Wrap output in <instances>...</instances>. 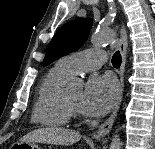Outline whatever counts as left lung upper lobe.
<instances>
[{"label":"left lung upper lobe","instance_id":"obj_1","mask_svg":"<svg viewBox=\"0 0 155 149\" xmlns=\"http://www.w3.org/2000/svg\"><path fill=\"white\" fill-rule=\"evenodd\" d=\"M91 28L90 19H77L64 24L52 38L43 66L79 49L87 40Z\"/></svg>","mask_w":155,"mask_h":149}]
</instances>
